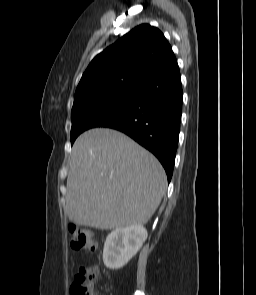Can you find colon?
I'll use <instances>...</instances> for the list:
<instances>
[{
	"label": "colon",
	"instance_id": "colon-1",
	"mask_svg": "<svg viewBox=\"0 0 256 295\" xmlns=\"http://www.w3.org/2000/svg\"><path fill=\"white\" fill-rule=\"evenodd\" d=\"M70 247L77 252H96L98 244L92 234L70 225ZM98 277V269L94 266L81 267L72 284V295H94V285Z\"/></svg>",
	"mask_w": 256,
	"mask_h": 295
}]
</instances>
